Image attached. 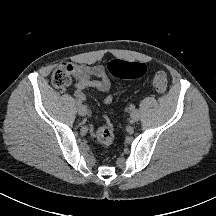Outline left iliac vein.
I'll use <instances>...</instances> for the list:
<instances>
[{"mask_svg":"<svg viewBox=\"0 0 216 216\" xmlns=\"http://www.w3.org/2000/svg\"><path fill=\"white\" fill-rule=\"evenodd\" d=\"M130 118H131V120H132L133 122H137V121L139 120V118H140V113H139V111H138V110L132 111L131 114H130Z\"/></svg>","mask_w":216,"mask_h":216,"instance_id":"obj_1","label":"left iliac vein"}]
</instances>
